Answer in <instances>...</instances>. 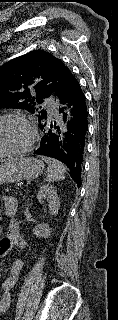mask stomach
Instances as JSON below:
<instances>
[{
  "label": "stomach",
  "instance_id": "stomach-1",
  "mask_svg": "<svg viewBox=\"0 0 118 320\" xmlns=\"http://www.w3.org/2000/svg\"><path fill=\"white\" fill-rule=\"evenodd\" d=\"M44 169V163L34 157L8 159L0 164V185L37 178Z\"/></svg>",
  "mask_w": 118,
  "mask_h": 320
}]
</instances>
